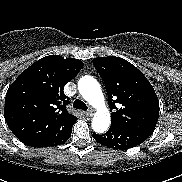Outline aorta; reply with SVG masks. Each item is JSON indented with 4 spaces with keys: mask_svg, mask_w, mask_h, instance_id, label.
I'll list each match as a JSON object with an SVG mask.
<instances>
[{
    "mask_svg": "<svg viewBox=\"0 0 182 182\" xmlns=\"http://www.w3.org/2000/svg\"><path fill=\"white\" fill-rule=\"evenodd\" d=\"M78 90L97 110L92 120V129L96 133H104L110 126V113L98 81L92 76H84L78 82Z\"/></svg>",
    "mask_w": 182,
    "mask_h": 182,
    "instance_id": "762f6f07",
    "label": "aorta"
}]
</instances>
